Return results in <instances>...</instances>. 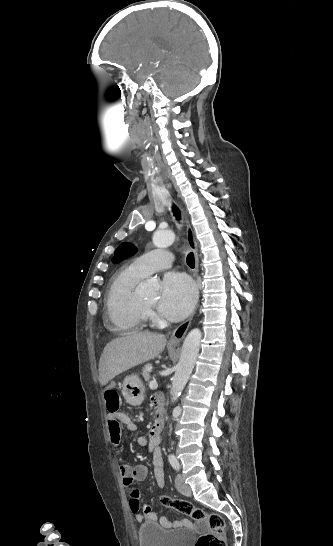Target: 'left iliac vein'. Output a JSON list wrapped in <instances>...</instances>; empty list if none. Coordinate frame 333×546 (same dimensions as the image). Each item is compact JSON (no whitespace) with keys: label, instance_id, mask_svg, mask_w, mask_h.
Returning <instances> with one entry per match:
<instances>
[{"label":"left iliac vein","instance_id":"left-iliac-vein-1","mask_svg":"<svg viewBox=\"0 0 333 546\" xmlns=\"http://www.w3.org/2000/svg\"><path fill=\"white\" fill-rule=\"evenodd\" d=\"M175 485H176L177 490L180 493H182V494H190L191 493V489H190L189 485H187L184 482V479L180 474H178L176 476Z\"/></svg>","mask_w":333,"mask_h":546}]
</instances>
